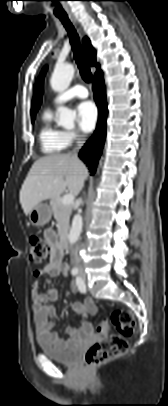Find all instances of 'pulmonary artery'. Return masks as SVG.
Listing matches in <instances>:
<instances>
[{"mask_svg":"<svg viewBox=\"0 0 168 406\" xmlns=\"http://www.w3.org/2000/svg\"><path fill=\"white\" fill-rule=\"evenodd\" d=\"M89 95L87 89L82 85H74L64 91L63 93L57 95L54 99L55 104H61L66 101H69L73 98H87Z\"/></svg>","mask_w":168,"mask_h":406,"instance_id":"pulmonary-artery-1","label":"pulmonary artery"}]
</instances>
